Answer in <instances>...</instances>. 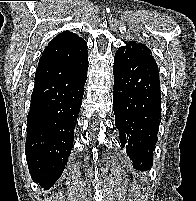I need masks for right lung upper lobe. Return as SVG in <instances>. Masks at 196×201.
Wrapping results in <instances>:
<instances>
[{
    "instance_id": "obj_1",
    "label": "right lung upper lobe",
    "mask_w": 196,
    "mask_h": 201,
    "mask_svg": "<svg viewBox=\"0 0 196 201\" xmlns=\"http://www.w3.org/2000/svg\"><path fill=\"white\" fill-rule=\"evenodd\" d=\"M86 60L88 51L85 40L75 33L64 31L49 42L38 66L55 63L77 64Z\"/></svg>"
}]
</instances>
